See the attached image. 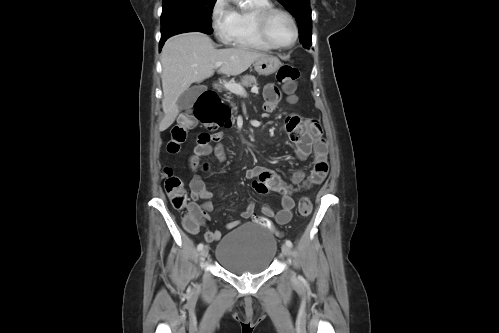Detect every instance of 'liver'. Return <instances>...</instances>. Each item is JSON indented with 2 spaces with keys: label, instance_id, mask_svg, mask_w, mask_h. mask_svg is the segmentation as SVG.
I'll list each match as a JSON object with an SVG mask.
<instances>
[{
  "label": "liver",
  "instance_id": "obj_1",
  "mask_svg": "<svg viewBox=\"0 0 499 333\" xmlns=\"http://www.w3.org/2000/svg\"><path fill=\"white\" fill-rule=\"evenodd\" d=\"M265 53L244 47L215 49L209 36L200 32L182 33L170 37L161 55L162 63V109L164 117L159 131L169 128L180 110L177 100L192 83H200L211 77L215 63L222 62L218 73L239 75L246 71Z\"/></svg>",
  "mask_w": 499,
  "mask_h": 333
}]
</instances>
